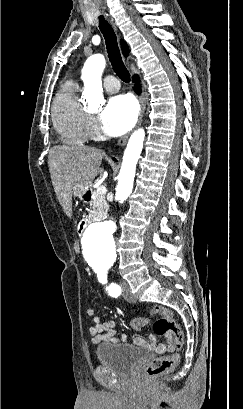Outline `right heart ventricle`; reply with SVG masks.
Returning <instances> with one entry per match:
<instances>
[{
  "instance_id": "obj_1",
  "label": "right heart ventricle",
  "mask_w": 243,
  "mask_h": 409,
  "mask_svg": "<svg viewBox=\"0 0 243 409\" xmlns=\"http://www.w3.org/2000/svg\"><path fill=\"white\" fill-rule=\"evenodd\" d=\"M77 85L68 81L55 97L52 121L61 140L81 145L88 139L87 113L77 97Z\"/></svg>"
}]
</instances>
